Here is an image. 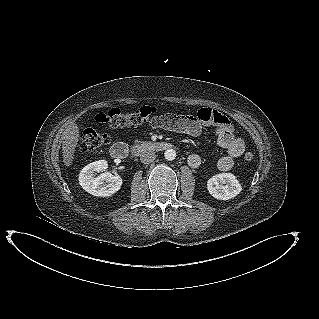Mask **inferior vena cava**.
Returning <instances> with one entry per match:
<instances>
[{"instance_id":"obj_1","label":"inferior vena cava","mask_w":319,"mask_h":319,"mask_svg":"<svg viewBox=\"0 0 319 319\" xmlns=\"http://www.w3.org/2000/svg\"><path fill=\"white\" fill-rule=\"evenodd\" d=\"M156 159L155 152L153 151H145L140 155V161L143 164H150Z\"/></svg>"}]
</instances>
